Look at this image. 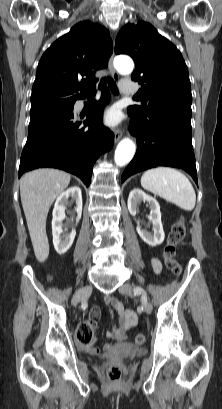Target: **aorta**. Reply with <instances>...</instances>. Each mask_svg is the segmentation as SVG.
<instances>
[{"mask_svg":"<svg viewBox=\"0 0 222 409\" xmlns=\"http://www.w3.org/2000/svg\"><path fill=\"white\" fill-rule=\"evenodd\" d=\"M114 67L119 73L126 75L133 71L134 63L129 57L118 56L114 59ZM135 151V143L129 138L123 139L115 151L114 161L116 165L120 167L127 165L134 157Z\"/></svg>","mask_w":222,"mask_h":409,"instance_id":"762f6f07","label":"aorta"}]
</instances>
